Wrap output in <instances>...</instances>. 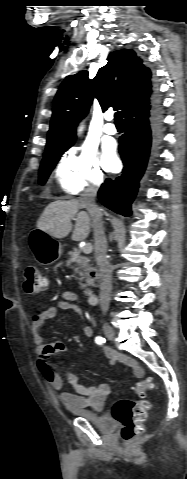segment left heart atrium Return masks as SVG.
Listing matches in <instances>:
<instances>
[{
  "label": "left heart atrium",
  "mask_w": 187,
  "mask_h": 479,
  "mask_svg": "<svg viewBox=\"0 0 187 479\" xmlns=\"http://www.w3.org/2000/svg\"><path fill=\"white\" fill-rule=\"evenodd\" d=\"M104 166L110 171H117L120 167V161L113 148H106L103 155Z\"/></svg>",
  "instance_id": "1"
}]
</instances>
